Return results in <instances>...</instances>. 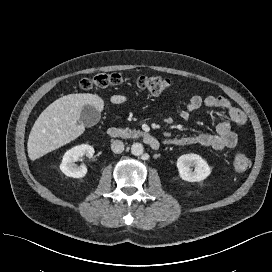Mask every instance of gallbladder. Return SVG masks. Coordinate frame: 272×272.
<instances>
[{"label": "gallbladder", "instance_id": "obj_1", "mask_svg": "<svg viewBox=\"0 0 272 272\" xmlns=\"http://www.w3.org/2000/svg\"><path fill=\"white\" fill-rule=\"evenodd\" d=\"M101 118L100 112L92 105H85L82 108L80 122L86 127H92L96 125Z\"/></svg>", "mask_w": 272, "mask_h": 272}]
</instances>
